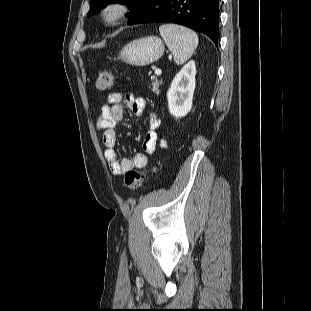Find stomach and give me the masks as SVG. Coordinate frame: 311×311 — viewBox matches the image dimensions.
<instances>
[{"label": "stomach", "instance_id": "1", "mask_svg": "<svg viewBox=\"0 0 311 311\" xmlns=\"http://www.w3.org/2000/svg\"><path fill=\"white\" fill-rule=\"evenodd\" d=\"M164 49L159 37H143L126 44L119 53V59L130 65L146 66L161 58Z\"/></svg>", "mask_w": 311, "mask_h": 311}]
</instances>
